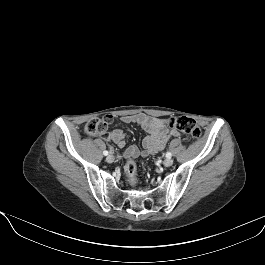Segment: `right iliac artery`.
Here are the masks:
<instances>
[{"label":"right iliac artery","instance_id":"obj_1","mask_svg":"<svg viewBox=\"0 0 265 265\" xmlns=\"http://www.w3.org/2000/svg\"><path fill=\"white\" fill-rule=\"evenodd\" d=\"M103 154H104L105 156H107V155H108V151H104Z\"/></svg>","mask_w":265,"mask_h":265}]
</instances>
